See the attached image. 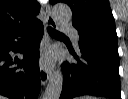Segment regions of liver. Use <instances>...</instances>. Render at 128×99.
I'll list each match as a JSON object with an SVG mask.
<instances>
[{
    "instance_id": "6515ba94",
    "label": "liver",
    "mask_w": 128,
    "mask_h": 99,
    "mask_svg": "<svg viewBox=\"0 0 128 99\" xmlns=\"http://www.w3.org/2000/svg\"><path fill=\"white\" fill-rule=\"evenodd\" d=\"M0 99H6V98H4L3 96H0Z\"/></svg>"
}]
</instances>
